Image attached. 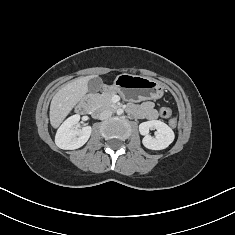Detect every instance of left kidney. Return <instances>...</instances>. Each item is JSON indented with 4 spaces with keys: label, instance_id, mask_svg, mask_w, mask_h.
Listing matches in <instances>:
<instances>
[{
    "label": "left kidney",
    "instance_id": "left-kidney-1",
    "mask_svg": "<svg viewBox=\"0 0 235 235\" xmlns=\"http://www.w3.org/2000/svg\"><path fill=\"white\" fill-rule=\"evenodd\" d=\"M150 129H156L155 137L149 135ZM143 145L151 150H162L167 148L174 140L173 130L160 120L146 121L139 125Z\"/></svg>",
    "mask_w": 235,
    "mask_h": 235
}]
</instances>
